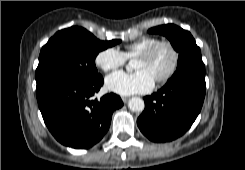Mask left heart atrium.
<instances>
[{"mask_svg": "<svg viewBox=\"0 0 245 170\" xmlns=\"http://www.w3.org/2000/svg\"><path fill=\"white\" fill-rule=\"evenodd\" d=\"M106 87L120 95L145 93L154 86L153 77L145 70H137L132 73L115 72L105 80Z\"/></svg>", "mask_w": 245, "mask_h": 170, "instance_id": "obj_1", "label": "left heart atrium"}]
</instances>
